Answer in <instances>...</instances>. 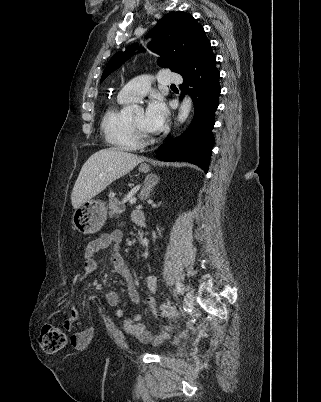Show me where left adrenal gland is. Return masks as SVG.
<instances>
[{
  "label": "left adrenal gland",
  "mask_w": 321,
  "mask_h": 402,
  "mask_svg": "<svg viewBox=\"0 0 321 402\" xmlns=\"http://www.w3.org/2000/svg\"><path fill=\"white\" fill-rule=\"evenodd\" d=\"M158 181L159 178L156 175L150 174L146 176L139 198L141 200H146L149 197L152 188L158 183Z\"/></svg>",
  "instance_id": "a2214340"
}]
</instances>
